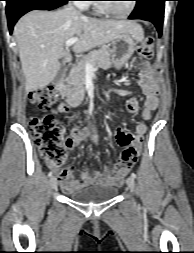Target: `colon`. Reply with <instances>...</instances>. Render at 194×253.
<instances>
[{"mask_svg":"<svg viewBox=\"0 0 194 253\" xmlns=\"http://www.w3.org/2000/svg\"><path fill=\"white\" fill-rule=\"evenodd\" d=\"M138 61L146 60L153 54V39L144 38L137 49ZM29 100L42 111L49 110L56 102V94L51 86L30 93ZM30 128L41 156L54 166L60 167L66 157L65 138L55 114H45L30 119ZM77 129L73 130L75 133ZM138 152L134 148L124 150L120 161L114 167V174L134 166Z\"/></svg>","mask_w":194,"mask_h":253,"instance_id":"5ec220e1","label":"colon"}]
</instances>
